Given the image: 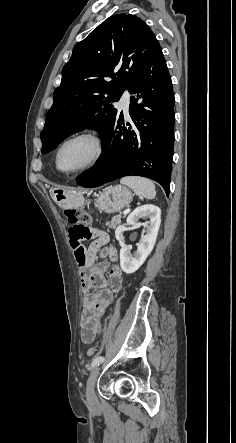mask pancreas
<instances>
[{"label": "pancreas", "instance_id": "pancreas-1", "mask_svg": "<svg viewBox=\"0 0 236 443\" xmlns=\"http://www.w3.org/2000/svg\"><path fill=\"white\" fill-rule=\"evenodd\" d=\"M121 223V216H114L110 222L106 223V226H108L110 229H115L118 225Z\"/></svg>", "mask_w": 236, "mask_h": 443}]
</instances>
